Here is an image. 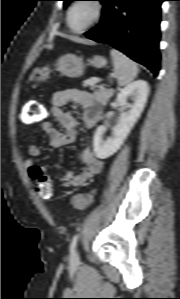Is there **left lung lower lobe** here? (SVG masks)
I'll use <instances>...</instances> for the list:
<instances>
[{"label":"left lung lower lobe","mask_w":180,"mask_h":299,"mask_svg":"<svg viewBox=\"0 0 180 299\" xmlns=\"http://www.w3.org/2000/svg\"><path fill=\"white\" fill-rule=\"evenodd\" d=\"M165 0H103L102 20L85 33L91 40L106 43L155 76L160 69L161 3Z\"/></svg>","instance_id":"1"}]
</instances>
